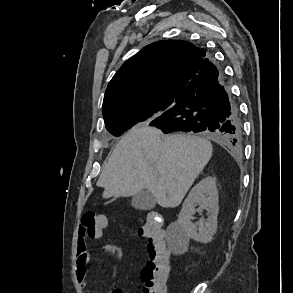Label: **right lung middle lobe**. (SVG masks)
Segmentation results:
<instances>
[{
  "mask_svg": "<svg viewBox=\"0 0 293 293\" xmlns=\"http://www.w3.org/2000/svg\"><path fill=\"white\" fill-rule=\"evenodd\" d=\"M168 103H172V105L167 110L173 107V105L175 104V99H173L172 101L162 102L155 109L149 108V109L140 110L137 112H129V113L121 114V115L108 117L104 119L106 124V129L112 135L120 136L122 133L127 131L129 128H131L135 124L146 121V120L150 121L156 118L159 115V114H156V112H163L164 107Z\"/></svg>",
  "mask_w": 293,
  "mask_h": 293,
  "instance_id": "dd1d6c3e",
  "label": "right lung middle lobe"
}]
</instances>
